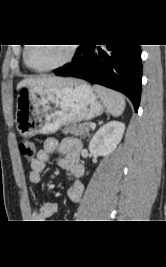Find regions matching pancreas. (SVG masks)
<instances>
[{"label": "pancreas", "instance_id": "obj_1", "mask_svg": "<svg viewBox=\"0 0 166 267\" xmlns=\"http://www.w3.org/2000/svg\"><path fill=\"white\" fill-rule=\"evenodd\" d=\"M91 123L84 122L81 124H74V125H66L63 129L64 134H72L73 136L80 137L81 139H85L89 136V126Z\"/></svg>", "mask_w": 166, "mask_h": 267}]
</instances>
